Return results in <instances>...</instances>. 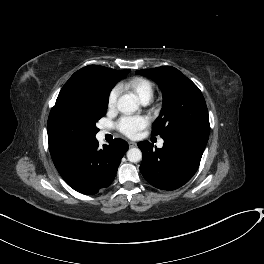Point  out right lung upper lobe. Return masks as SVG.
I'll return each instance as SVG.
<instances>
[{"instance_id":"cb5924a9","label":"right lung upper lobe","mask_w":264,"mask_h":264,"mask_svg":"<svg viewBox=\"0 0 264 264\" xmlns=\"http://www.w3.org/2000/svg\"><path fill=\"white\" fill-rule=\"evenodd\" d=\"M122 71H125V70L118 71L114 69H108L103 66L89 65L75 72L66 83L69 84L74 81L89 79L99 74L122 72ZM82 142L84 141L83 140H66L62 138L57 133L52 123L48 120V143H49V150H50L51 156H55L56 154L62 152L63 150L71 146L80 144Z\"/></svg>"}]
</instances>
